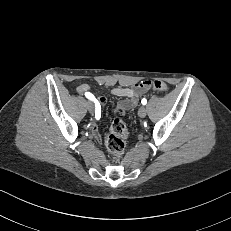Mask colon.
<instances>
[{"label":"colon","mask_w":231,"mask_h":231,"mask_svg":"<svg viewBox=\"0 0 231 231\" xmlns=\"http://www.w3.org/2000/svg\"><path fill=\"white\" fill-rule=\"evenodd\" d=\"M149 87L160 92L168 90L167 84L159 80L150 81ZM128 135L129 132L124 122L119 118H115L106 137V147L112 160H118L124 153L125 139Z\"/></svg>","instance_id":"5ec220e1"}]
</instances>
